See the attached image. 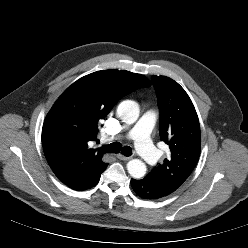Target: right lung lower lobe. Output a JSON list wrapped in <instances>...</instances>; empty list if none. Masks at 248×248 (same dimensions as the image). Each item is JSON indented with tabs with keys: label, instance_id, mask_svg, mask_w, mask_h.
<instances>
[{
	"label": "right lung lower lobe",
	"instance_id": "right-lung-lower-lobe-1",
	"mask_svg": "<svg viewBox=\"0 0 248 248\" xmlns=\"http://www.w3.org/2000/svg\"><path fill=\"white\" fill-rule=\"evenodd\" d=\"M99 179H100V177H98L94 182H92V183H91L87 188H85L84 190L90 189V188L94 187V186L98 183Z\"/></svg>",
	"mask_w": 248,
	"mask_h": 248
}]
</instances>
